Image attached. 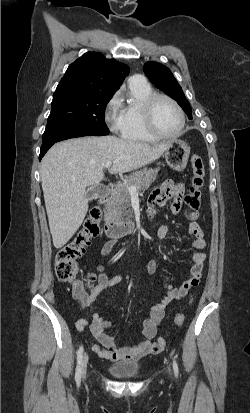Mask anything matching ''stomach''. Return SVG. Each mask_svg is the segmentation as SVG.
<instances>
[{"mask_svg":"<svg viewBox=\"0 0 250 413\" xmlns=\"http://www.w3.org/2000/svg\"><path fill=\"white\" fill-rule=\"evenodd\" d=\"M169 143L170 146L164 153L168 166L176 171L184 170L190 154L189 146L182 140H172Z\"/></svg>","mask_w":250,"mask_h":413,"instance_id":"0dacf381","label":"stomach"}]
</instances>
